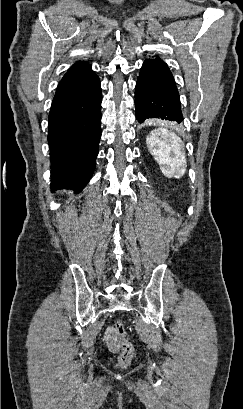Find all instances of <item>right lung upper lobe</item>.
Wrapping results in <instances>:
<instances>
[{"instance_id":"cb5924a9","label":"right lung upper lobe","mask_w":243,"mask_h":409,"mask_svg":"<svg viewBox=\"0 0 243 409\" xmlns=\"http://www.w3.org/2000/svg\"><path fill=\"white\" fill-rule=\"evenodd\" d=\"M89 66H90L89 63L84 62V61H80V62H77V63L73 64V65L69 68L68 71H77V70L85 69V68H87V67H89Z\"/></svg>"}]
</instances>
